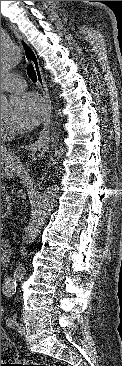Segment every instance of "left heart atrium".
<instances>
[{
  "instance_id": "obj_1",
  "label": "left heart atrium",
  "mask_w": 122,
  "mask_h": 366,
  "mask_svg": "<svg viewBox=\"0 0 122 366\" xmlns=\"http://www.w3.org/2000/svg\"><path fill=\"white\" fill-rule=\"evenodd\" d=\"M45 105L34 93H21L10 99L6 125L13 131H26L36 127L43 119Z\"/></svg>"
}]
</instances>
